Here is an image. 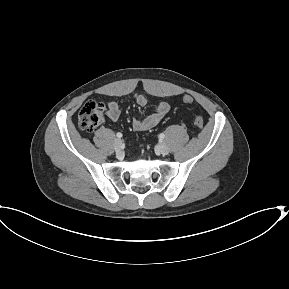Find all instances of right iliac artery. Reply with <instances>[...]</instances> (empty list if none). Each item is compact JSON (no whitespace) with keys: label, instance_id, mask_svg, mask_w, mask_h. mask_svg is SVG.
<instances>
[{"label":"right iliac artery","instance_id":"right-iliac-artery-1","mask_svg":"<svg viewBox=\"0 0 289 289\" xmlns=\"http://www.w3.org/2000/svg\"><path fill=\"white\" fill-rule=\"evenodd\" d=\"M116 136H117L118 138H121V137H122V133L118 132V133L116 134Z\"/></svg>","mask_w":289,"mask_h":289}]
</instances>
